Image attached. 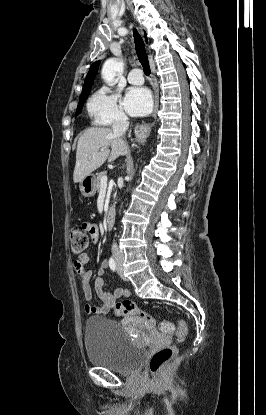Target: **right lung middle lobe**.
Returning a JSON list of instances; mask_svg holds the SVG:
<instances>
[{"label": "right lung middle lobe", "instance_id": "right-lung-middle-lobe-1", "mask_svg": "<svg viewBox=\"0 0 266 415\" xmlns=\"http://www.w3.org/2000/svg\"><path fill=\"white\" fill-rule=\"evenodd\" d=\"M87 97H88V94L85 95V96L80 97L79 104H78L77 111H76V115H78L80 113V111L82 109V106H83V103H84V101L86 100Z\"/></svg>", "mask_w": 266, "mask_h": 415}]
</instances>
